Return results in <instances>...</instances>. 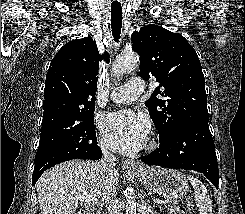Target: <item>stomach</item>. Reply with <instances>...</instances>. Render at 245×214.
Returning <instances> with one entry per match:
<instances>
[{
  "label": "stomach",
  "mask_w": 245,
  "mask_h": 214,
  "mask_svg": "<svg viewBox=\"0 0 245 214\" xmlns=\"http://www.w3.org/2000/svg\"><path fill=\"white\" fill-rule=\"evenodd\" d=\"M137 173L148 189L166 199L176 200L189 190L185 175L175 169L147 167Z\"/></svg>",
  "instance_id": "obj_1"
}]
</instances>
